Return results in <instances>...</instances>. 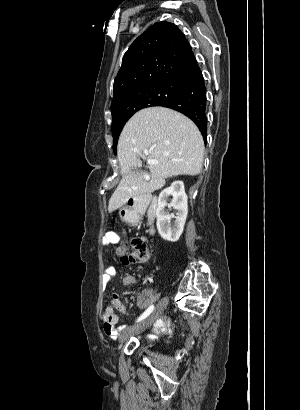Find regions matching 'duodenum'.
I'll return each instance as SVG.
<instances>
[{"instance_id": "1", "label": "duodenum", "mask_w": 300, "mask_h": 410, "mask_svg": "<svg viewBox=\"0 0 300 410\" xmlns=\"http://www.w3.org/2000/svg\"><path fill=\"white\" fill-rule=\"evenodd\" d=\"M157 210V201L150 198H135L134 202L129 207L127 221L129 223H137L143 216H146L150 221H152L157 213ZM149 232L150 234H153L154 232L152 224H150Z\"/></svg>"}]
</instances>
